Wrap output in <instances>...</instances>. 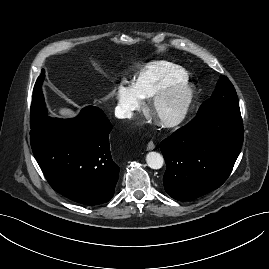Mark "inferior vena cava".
I'll list each match as a JSON object with an SVG mask.
<instances>
[{"mask_svg": "<svg viewBox=\"0 0 269 269\" xmlns=\"http://www.w3.org/2000/svg\"><path fill=\"white\" fill-rule=\"evenodd\" d=\"M115 116L117 118H120V119L131 118L132 112L126 111V110H122V109H116L115 110Z\"/></svg>", "mask_w": 269, "mask_h": 269, "instance_id": "inferior-vena-cava-1", "label": "inferior vena cava"}]
</instances>
